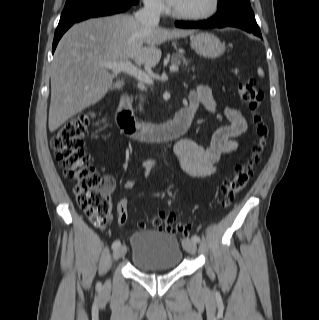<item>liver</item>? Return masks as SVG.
<instances>
[{
    "mask_svg": "<svg viewBox=\"0 0 319 320\" xmlns=\"http://www.w3.org/2000/svg\"><path fill=\"white\" fill-rule=\"evenodd\" d=\"M192 33L146 28L127 14L89 19L71 27L59 41L52 63L49 131L57 130L110 90L123 87L124 81L113 83L109 69L101 63L133 59L154 67L162 55L158 45Z\"/></svg>",
    "mask_w": 319,
    "mask_h": 320,
    "instance_id": "6515ba94",
    "label": "liver"
}]
</instances>
